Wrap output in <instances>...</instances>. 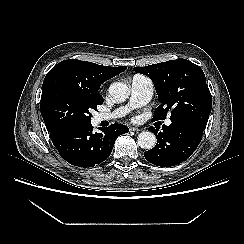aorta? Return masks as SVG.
<instances>
[{
  "label": "aorta",
  "instance_id": "762f6f07",
  "mask_svg": "<svg viewBox=\"0 0 244 244\" xmlns=\"http://www.w3.org/2000/svg\"><path fill=\"white\" fill-rule=\"evenodd\" d=\"M109 94L116 102H124L130 95L129 87L123 82H115L109 86ZM138 145L143 148L150 150L156 144V137L150 131H143L138 135Z\"/></svg>",
  "mask_w": 244,
  "mask_h": 244
}]
</instances>
